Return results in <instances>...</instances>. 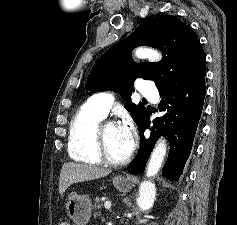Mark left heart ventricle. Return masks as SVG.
Returning a JSON list of instances; mask_svg holds the SVG:
<instances>
[{"label": "left heart ventricle", "mask_w": 237, "mask_h": 225, "mask_svg": "<svg viewBox=\"0 0 237 225\" xmlns=\"http://www.w3.org/2000/svg\"><path fill=\"white\" fill-rule=\"evenodd\" d=\"M104 138L106 150L110 158L113 160H122L127 157L123 138L118 126H109L105 130Z\"/></svg>", "instance_id": "1"}]
</instances>
